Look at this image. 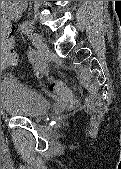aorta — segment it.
<instances>
[{"label":"aorta","mask_w":121,"mask_h":169,"mask_svg":"<svg viewBox=\"0 0 121 169\" xmlns=\"http://www.w3.org/2000/svg\"><path fill=\"white\" fill-rule=\"evenodd\" d=\"M27 5V1H2L1 8L12 14H21Z\"/></svg>","instance_id":"aorta-1"}]
</instances>
